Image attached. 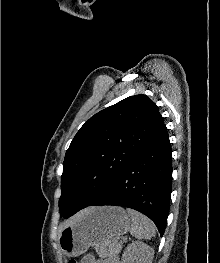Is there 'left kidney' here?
Returning <instances> with one entry per match:
<instances>
[{
  "instance_id": "obj_1",
  "label": "left kidney",
  "mask_w": 220,
  "mask_h": 263,
  "mask_svg": "<svg viewBox=\"0 0 220 263\" xmlns=\"http://www.w3.org/2000/svg\"><path fill=\"white\" fill-rule=\"evenodd\" d=\"M153 256V248L141 242H133L124 251L121 263H152Z\"/></svg>"
}]
</instances>
